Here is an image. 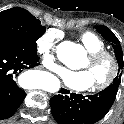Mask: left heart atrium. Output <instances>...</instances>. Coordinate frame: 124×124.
Returning <instances> with one entry per match:
<instances>
[{
	"label": "left heart atrium",
	"instance_id": "39dd6f15",
	"mask_svg": "<svg viewBox=\"0 0 124 124\" xmlns=\"http://www.w3.org/2000/svg\"><path fill=\"white\" fill-rule=\"evenodd\" d=\"M60 77L64 84L74 90L83 91L93 86V80L88 70H67L62 69Z\"/></svg>",
	"mask_w": 124,
	"mask_h": 124
}]
</instances>
